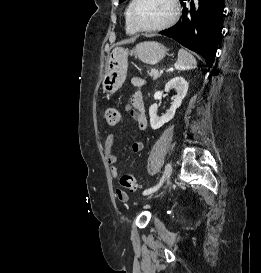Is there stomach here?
I'll use <instances>...</instances> for the list:
<instances>
[{
    "label": "stomach",
    "mask_w": 261,
    "mask_h": 273,
    "mask_svg": "<svg viewBox=\"0 0 261 273\" xmlns=\"http://www.w3.org/2000/svg\"><path fill=\"white\" fill-rule=\"evenodd\" d=\"M167 49L156 41H145L137 44L130 52L123 48L114 49L107 61L102 81L104 93H115L124 83L128 68V55H134L143 63L155 65L166 55Z\"/></svg>",
    "instance_id": "stomach-1"
}]
</instances>
